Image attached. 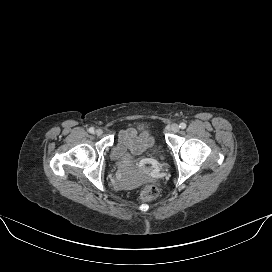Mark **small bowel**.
<instances>
[{"mask_svg":"<svg viewBox=\"0 0 272 272\" xmlns=\"http://www.w3.org/2000/svg\"><path fill=\"white\" fill-rule=\"evenodd\" d=\"M152 145V138L148 132H138L136 129L128 128L119 134L115 150L122 153L130 151L132 154H140Z\"/></svg>","mask_w":272,"mask_h":272,"instance_id":"c3829d8e","label":"small bowel"}]
</instances>
